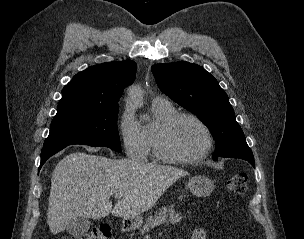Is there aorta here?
<instances>
[{
    "label": "aorta",
    "mask_w": 304,
    "mask_h": 239,
    "mask_svg": "<svg viewBox=\"0 0 304 239\" xmlns=\"http://www.w3.org/2000/svg\"><path fill=\"white\" fill-rule=\"evenodd\" d=\"M142 100V92L138 87H132L129 90V102L139 105Z\"/></svg>",
    "instance_id": "762f6f07"
}]
</instances>
